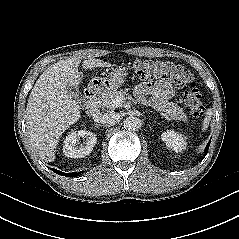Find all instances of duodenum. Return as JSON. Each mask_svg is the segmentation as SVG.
<instances>
[{
  "instance_id": "duodenum-1",
  "label": "duodenum",
  "mask_w": 239,
  "mask_h": 239,
  "mask_svg": "<svg viewBox=\"0 0 239 239\" xmlns=\"http://www.w3.org/2000/svg\"><path fill=\"white\" fill-rule=\"evenodd\" d=\"M85 99L87 102V114L91 117L99 114L98 91L95 88H88L85 91Z\"/></svg>"
}]
</instances>
